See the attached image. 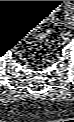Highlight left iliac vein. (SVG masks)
<instances>
[{
	"instance_id": "left-iliac-vein-1",
	"label": "left iliac vein",
	"mask_w": 74,
	"mask_h": 122,
	"mask_svg": "<svg viewBox=\"0 0 74 122\" xmlns=\"http://www.w3.org/2000/svg\"><path fill=\"white\" fill-rule=\"evenodd\" d=\"M73 27V24L72 23H68L67 24V28H72Z\"/></svg>"
}]
</instances>
